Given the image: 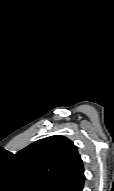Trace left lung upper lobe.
<instances>
[{
  "label": "left lung upper lobe",
  "instance_id": "5c2ea615",
  "mask_svg": "<svg viewBox=\"0 0 114 191\" xmlns=\"http://www.w3.org/2000/svg\"><path fill=\"white\" fill-rule=\"evenodd\" d=\"M15 157L22 174L40 191H68L84 171L77 147L60 135L40 139Z\"/></svg>",
  "mask_w": 114,
  "mask_h": 191
}]
</instances>
